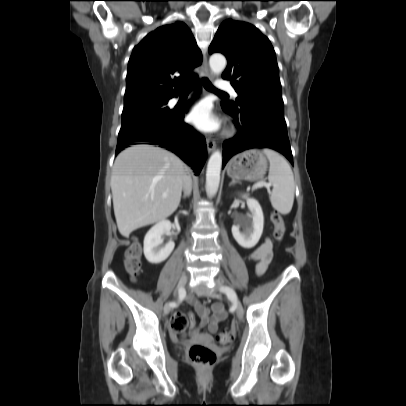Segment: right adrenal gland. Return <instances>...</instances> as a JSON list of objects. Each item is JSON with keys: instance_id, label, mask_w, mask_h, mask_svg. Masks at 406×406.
<instances>
[{"instance_id": "2a0ac1e0", "label": "right adrenal gland", "mask_w": 406, "mask_h": 406, "mask_svg": "<svg viewBox=\"0 0 406 406\" xmlns=\"http://www.w3.org/2000/svg\"><path fill=\"white\" fill-rule=\"evenodd\" d=\"M189 195H190V194H184L182 198H183V199H186L187 197H189Z\"/></svg>"}]
</instances>
